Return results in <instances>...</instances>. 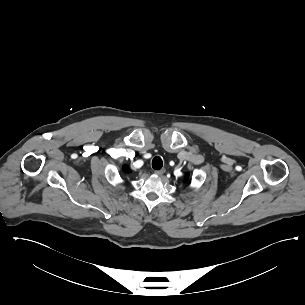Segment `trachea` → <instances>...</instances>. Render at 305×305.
<instances>
[{
	"label": "trachea",
	"instance_id": "1",
	"mask_svg": "<svg viewBox=\"0 0 305 305\" xmlns=\"http://www.w3.org/2000/svg\"><path fill=\"white\" fill-rule=\"evenodd\" d=\"M163 166V161L159 156H156L152 160V167L155 170H160Z\"/></svg>",
	"mask_w": 305,
	"mask_h": 305
}]
</instances>
